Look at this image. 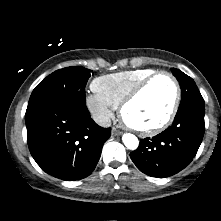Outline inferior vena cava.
Segmentation results:
<instances>
[{"mask_svg": "<svg viewBox=\"0 0 221 221\" xmlns=\"http://www.w3.org/2000/svg\"><path fill=\"white\" fill-rule=\"evenodd\" d=\"M93 119L97 124H99L102 127H110L111 126V119L107 115L94 114Z\"/></svg>", "mask_w": 221, "mask_h": 221, "instance_id": "602c4592", "label": "inferior vena cava"}]
</instances>
